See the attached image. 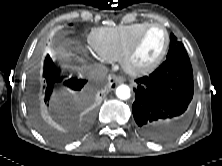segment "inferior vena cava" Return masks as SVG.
Returning <instances> with one entry per match:
<instances>
[{"label":"inferior vena cava","instance_id":"inferior-vena-cava-1","mask_svg":"<svg viewBox=\"0 0 222 166\" xmlns=\"http://www.w3.org/2000/svg\"><path fill=\"white\" fill-rule=\"evenodd\" d=\"M107 73V67L102 64L89 65L86 67L85 71L86 76L95 81L103 80Z\"/></svg>","mask_w":222,"mask_h":166}]
</instances>
